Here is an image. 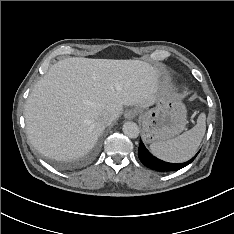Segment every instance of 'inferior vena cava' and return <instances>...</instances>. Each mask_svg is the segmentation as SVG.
<instances>
[{
  "label": "inferior vena cava",
  "mask_w": 234,
  "mask_h": 234,
  "mask_svg": "<svg viewBox=\"0 0 234 234\" xmlns=\"http://www.w3.org/2000/svg\"><path fill=\"white\" fill-rule=\"evenodd\" d=\"M115 119V114L104 112L99 117V122L103 125H109Z\"/></svg>",
  "instance_id": "inferior-vena-cava-1"
}]
</instances>
